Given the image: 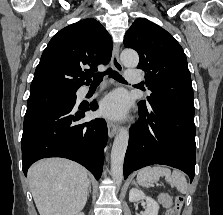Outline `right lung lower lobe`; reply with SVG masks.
Wrapping results in <instances>:
<instances>
[{
  "label": "right lung lower lobe",
  "mask_w": 223,
  "mask_h": 215,
  "mask_svg": "<svg viewBox=\"0 0 223 215\" xmlns=\"http://www.w3.org/2000/svg\"><path fill=\"white\" fill-rule=\"evenodd\" d=\"M98 105L75 104L50 107L25 114L21 139L23 172L37 160L64 157L85 166L98 180L102 173L107 125L96 118L75 124L85 117V111H95Z\"/></svg>",
  "instance_id": "obj_1"
}]
</instances>
